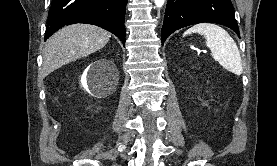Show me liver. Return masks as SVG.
Returning a JSON list of instances; mask_svg holds the SVG:
<instances>
[{
  "label": "liver",
  "mask_w": 277,
  "mask_h": 166,
  "mask_svg": "<svg viewBox=\"0 0 277 166\" xmlns=\"http://www.w3.org/2000/svg\"><path fill=\"white\" fill-rule=\"evenodd\" d=\"M110 37L108 31L89 24H75L60 29L45 44L42 76L100 50Z\"/></svg>",
  "instance_id": "obj_1"
}]
</instances>
